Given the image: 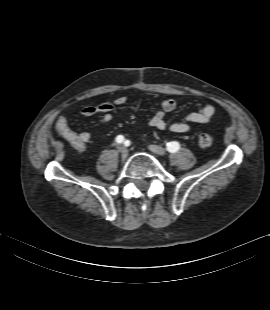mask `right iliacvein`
<instances>
[{"instance_id": "right-iliac-vein-1", "label": "right iliac vein", "mask_w": 270, "mask_h": 310, "mask_svg": "<svg viewBox=\"0 0 270 310\" xmlns=\"http://www.w3.org/2000/svg\"><path fill=\"white\" fill-rule=\"evenodd\" d=\"M119 151L123 158H126L128 156V149L126 147H121Z\"/></svg>"}]
</instances>
